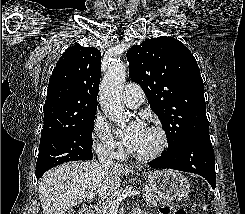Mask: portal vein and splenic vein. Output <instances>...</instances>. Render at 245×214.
<instances>
[{"mask_svg": "<svg viewBox=\"0 0 245 214\" xmlns=\"http://www.w3.org/2000/svg\"><path fill=\"white\" fill-rule=\"evenodd\" d=\"M137 195H140L139 191H130L126 194H121L116 199H106L103 204H109L111 206V210L116 211L118 209L119 202H121L124 198L130 197V196H137ZM94 196H95V193H89L87 195V198L93 199Z\"/></svg>", "mask_w": 245, "mask_h": 214, "instance_id": "portal-vein-and-splenic-vein-1", "label": "portal vein and splenic vein"}]
</instances>
